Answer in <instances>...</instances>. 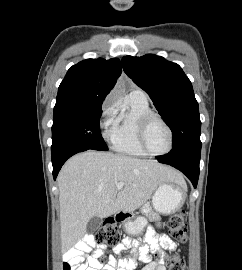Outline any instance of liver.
Segmentation results:
<instances>
[{
  "instance_id": "6515ba94",
  "label": "liver",
  "mask_w": 242,
  "mask_h": 270,
  "mask_svg": "<svg viewBox=\"0 0 242 270\" xmlns=\"http://www.w3.org/2000/svg\"><path fill=\"white\" fill-rule=\"evenodd\" d=\"M62 247L86 233L89 220L120 211L131 213L150 199L163 183L185 185L175 170L154 160L110 152L86 151L71 157L58 175ZM119 182L125 183L117 190Z\"/></svg>"
}]
</instances>
